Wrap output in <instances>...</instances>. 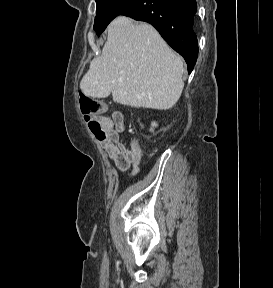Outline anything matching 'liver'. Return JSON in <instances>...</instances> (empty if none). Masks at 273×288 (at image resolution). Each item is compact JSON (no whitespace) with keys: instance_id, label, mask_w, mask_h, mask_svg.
Listing matches in <instances>:
<instances>
[{"instance_id":"1","label":"liver","mask_w":273,"mask_h":288,"mask_svg":"<svg viewBox=\"0 0 273 288\" xmlns=\"http://www.w3.org/2000/svg\"><path fill=\"white\" fill-rule=\"evenodd\" d=\"M183 61L147 23L119 16L108 27L102 54L80 82L84 95L119 104L167 110L181 96Z\"/></svg>"}]
</instances>
